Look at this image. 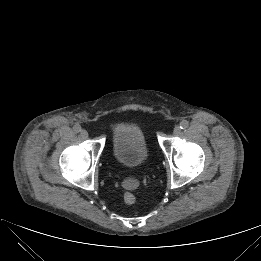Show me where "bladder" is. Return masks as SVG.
<instances>
[{
  "instance_id": "obj_1",
  "label": "bladder",
  "mask_w": 261,
  "mask_h": 261,
  "mask_svg": "<svg viewBox=\"0 0 261 261\" xmlns=\"http://www.w3.org/2000/svg\"><path fill=\"white\" fill-rule=\"evenodd\" d=\"M113 156L128 170L142 168L148 158V149L140 125L133 121L117 125L112 133Z\"/></svg>"
}]
</instances>
